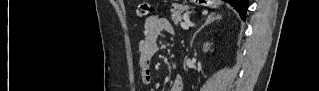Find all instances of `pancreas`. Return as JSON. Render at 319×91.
<instances>
[{
  "label": "pancreas",
  "instance_id": "obj_1",
  "mask_svg": "<svg viewBox=\"0 0 319 91\" xmlns=\"http://www.w3.org/2000/svg\"><path fill=\"white\" fill-rule=\"evenodd\" d=\"M189 8L187 6L176 5L172 10L171 20L177 25L182 20L181 13L188 11Z\"/></svg>",
  "mask_w": 319,
  "mask_h": 91
}]
</instances>
